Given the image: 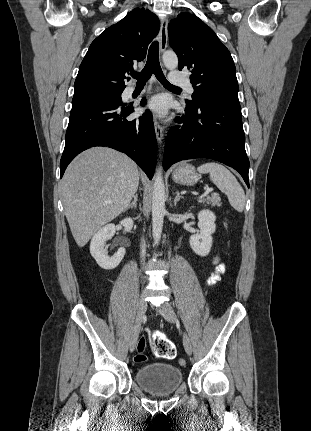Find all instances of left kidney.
Returning <instances> with one entry per match:
<instances>
[{"label":"left kidney","instance_id":"obj_1","mask_svg":"<svg viewBox=\"0 0 311 431\" xmlns=\"http://www.w3.org/2000/svg\"><path fill=\"white\" fill-rule=\"evenodd\" d=\"M199 235H190L189 243L197 255H208L212 243V233L216 231V216L210 210H201L198 214Z\"/></svg>","mask_w":311,"mask_h":431}]
</instances>
